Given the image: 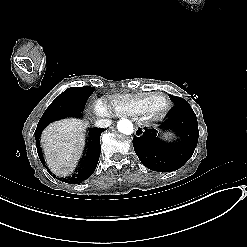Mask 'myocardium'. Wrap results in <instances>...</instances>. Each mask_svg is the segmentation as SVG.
Here are the masks:
<instances>
[{
  "label": "myocardium",
  "instance_id": "f54148a6",
  "mask_svg": "<svg viewBox=\"0 0 247 247\" xmlns=\"http://www.w3.org/2000/svg\"><path fill=\"white\" fill-rule=\"evenodd\" d=\"M167 105V98L162 94L155 93L149 97L144 112L148 118L158 117L165 111Z\"/></svg>",
  "mask_w": 247,
  "mask_h": 247
}]
</instances>
